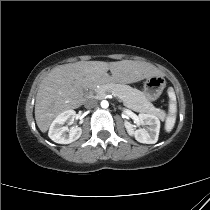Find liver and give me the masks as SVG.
<instances>
[{"instance_id": "6515ba94", "label": "liver", "mask_w": 210, "mask_h": 210, "mask_svg": "<svg viewBox=\"0 0 210 210\" xmlns=\"http://www.w3.org/2000/svg\"><path fill=\"white\" fill-rule=\"evenodd\" d=\"M111 72V76L107 73ZM159 75L154 66L141 61H79L54 68L41 82L35 102V120L45 133L55 117L84 102V90L118 82L135 83Z\"/></svg>"}]
</instances>
